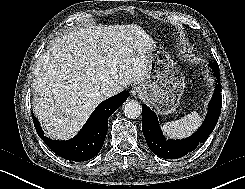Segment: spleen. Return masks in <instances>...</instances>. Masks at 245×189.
Returning a JSON list of instances; mask_svg holds the SVG:
<instances>
[{"label":"spleen","mask_w":245,"mask_h":189,"mask_svg":"<svg viewBox=\"0 0 245 189\" xmlns=\"http://www.w3.org/2000/svg\"><path fill=\"white\" fill-rule=\"evenodd\" d=\"M202 123V118L197 112H191L179 120L166 122L163 130L169 137H185L195 131Z\"/></svg>","instance_id":"1"}]
</instances>
